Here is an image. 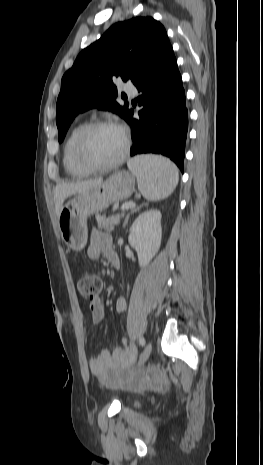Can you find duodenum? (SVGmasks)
<instances>
[{
    "label": "duodenum",
    "instance_id": "obj_1",
    "mask_svg": "<svg viewBox=\"0 0 263 465\" xmlns=\"http://www.w3.org/2000/svg\"><path fill=\"white\" fill-rule=\"evenodd\" d=\"M109 259H110L112 265H113L115 268H118V267H119V259H118V256H117V254H116L115 252L110 253Z\"/></svg>",
    "mask_w": 263,
    "mask_h": 465
}]
</instances>
